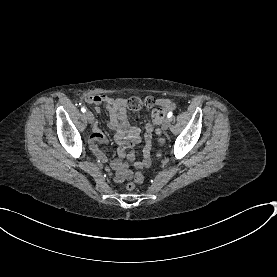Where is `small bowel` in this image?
Listing matches in <instances>:
<instances>
[{"label": "small bowel", "instance_id": "1", "mask_svg": "<svg viewBox=\"0 0 277 277\" xmlns=\"http://www.w3.org/2000/svg\"><path fill=\"white\" fill-rule=\"evenodd\" d=\"M89 97H86L88 101ZM99 103H106V108L109 114L108 126L110 129L115 131V140L119 145L118 156L119 159L115 162L110 158H105L104 154L96 150L97 157L104 162L106 165L113 167L115 170L114 180L116 182H123L132 176V170L130 167L122 162L125 150L139 143L140 141V130L135 126H131L127 119L126 101L122 98H111L106 95L98 97ZM90 104H96L97 98L90 97ZM157 104L167 114L173 109V102L167 98L158 99ZM154 129L150 123L145 125V147L143 150V157L141 160L136 161L132 153H130L129 160L133 163L135 168L142 169L149 167L150 165V150L152 144V133ZM106 140V136L99 130L96 129L89 140L90 147L93 149L96 147L97 142H103Z\"/></svg>", "mask_w": 277, "mask_h": 277}]
</instances>
